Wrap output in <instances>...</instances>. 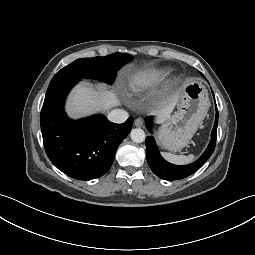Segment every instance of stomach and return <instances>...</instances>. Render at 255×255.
<instances>
[{
  "instance_id": "1",
  "label": "stomach",
  "mask_w": 255,
  "mask_h": 255,
  "mask_svg": "<svg viewBox=\"0 0 255 255\" xmlns=\"http://www.w3.org/2000/svg\"><path fill=\"white\" fill-rule=\"evenodd\" d=\"M179 99L178 110L162 122L157 132L158 143L175 152L190 143L209 108L207 91L196 81L182 86Z\"/></svg>"
}]
</instances>
